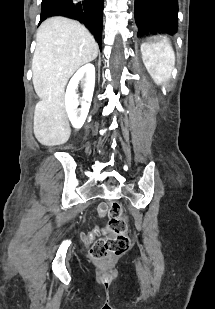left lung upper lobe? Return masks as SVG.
<instances>
[{"label":"left lung upper lobe","mask_w":215,"mask_h":309,"mask_svg":"<svg viewBox=\"0 0 215 309\" xmlns=\"http://www.w3.org/2000/svg\"><path fill=\"white\" fill-rule=\"evenodd\" d=\"M137 36L178 32V0H135Z\"/></svg>","instance_id":"5c2ea615"}]
</instances>
